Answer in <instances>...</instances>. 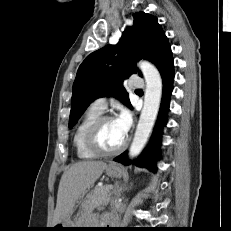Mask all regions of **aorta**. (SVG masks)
Returning <instances> with one entry per match:
<instances>
[{
	"mask_svg": "<svg viewBox=\"0 0 231 231\" xmlns=\"http://www.w3.org/2000/svg\"><path fill=\"white\" fill-rule=\"evenodd\" d=\"M139 68L146 81L144 105L129 149L131 158L137 157L144 148L154 126L162 96V79L157 68L149 61L139 62Z\"/></svg>",
	"mask_w": 231,
	"mask_h": 231,
	"instance_id": "obj_1",
	"label": "aorta"
}]
</instances>
